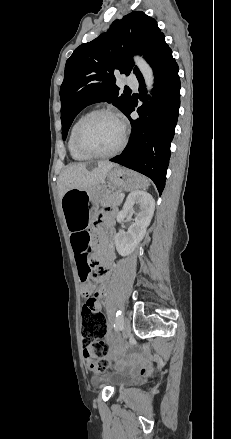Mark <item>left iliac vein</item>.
<instances>
[{"instance_id": "1", "label": "left iliac vein", "mask_w": 231, "mask_h": 439, "mask_svg": "<svg viewBox=\"0 0 231 439\" xmlns=\"http://www.w3.org/2000/svg\"><path fill=\"white\" fill-rule=\"evenodd\" d=\"M131 333V325H130V321L127 318L123 319V323H122V336H123V340H126L129 335Z\"/></svg>"}]
</instances>
